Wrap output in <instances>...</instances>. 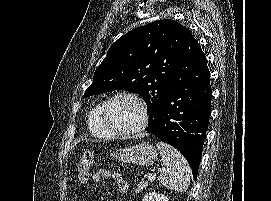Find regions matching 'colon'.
Wrapping results in <instances>:
<instances>
[{
	"label": "colon",
	"mask_w": 271,
	"mask_h": 201,
	"mask_svg": "<svg viewBox=\"0 0 271 201\" xmlns=\"http://www.w3.org/2000/svg\"><path fill=\"white\" fill-rule=\"evenodd\" d=\"M94 158H95V152L93 151H86L82 155L77 167L78 180L81 184L87 183L88 178H89L90 167Z\"/></svg>",
	"instance_id": "5ec220e1"
}]
</instances>
